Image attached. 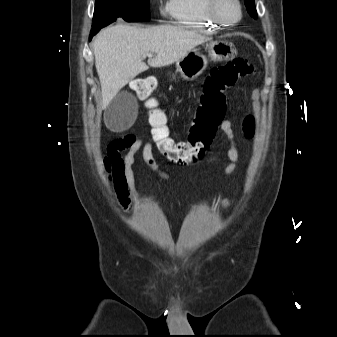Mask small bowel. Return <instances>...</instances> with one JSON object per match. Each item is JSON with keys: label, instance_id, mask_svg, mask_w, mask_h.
<instances>
[{"label": "small bowel", "instance_id": "c3829d8e", "mask_svg": "<svg viewBox=\"0 0 337 337\" xmlns=\"http://www.w3.org/2000/svg\"><path fill=\"white\" fill-rule=\"evenodd\" d=\"M221 129L229 142L227 156L230 162L220 176L224 177L236 170L239 152L236 147L231 121H223ZM138 152H141V158L147 167L156 172L162 179L170 180V175L160 169L154 158L152 141L143 142L134 135L114 140L109 144L103 157V169L109 184L114 189L119 205L124 209H131L139 200L133 171ZM221 204L226 208L230 206L231 202L229 199H223Z\"/></svg>", "mask_w": 337, "mask_h": 337}]
</instances>
